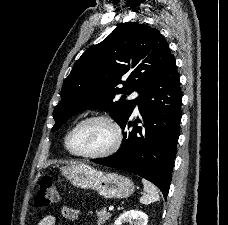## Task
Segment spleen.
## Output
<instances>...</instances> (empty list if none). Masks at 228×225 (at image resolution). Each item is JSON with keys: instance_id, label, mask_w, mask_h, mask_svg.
<instances>
[{"instance_id": "3e777b00", "label": "spleen", "mask_w": 228, "mask_h": 225, "mask_svg": "<svg viewBox=\"0 0 228 225\" xmlns=\"http://www.w3.org/2000/svg\"><path fill=\"white\" fill-rule=\"evenodd\" d=\"M142 183L144 185L145 195L140 197V203H142V205H150V203H156V201H159L156 187H154L152 183H149V181H146V179H142Z\"/></svg>"}]
</instances>
